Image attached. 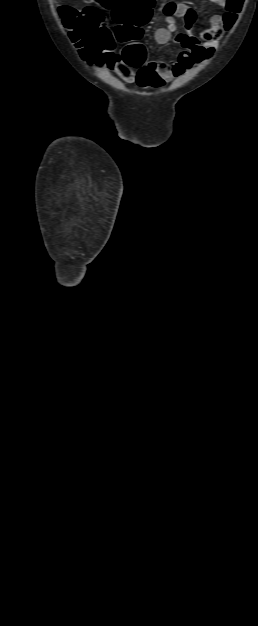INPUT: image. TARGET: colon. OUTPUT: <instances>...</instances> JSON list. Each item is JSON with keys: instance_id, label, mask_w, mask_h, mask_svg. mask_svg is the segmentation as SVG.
<instances>
[{"instance_id": "1", "label": "colon", "mask_w": 258, "mask_h": 626, "mask_svg": "<svg viewBox=\"0 0 258 626\" xmlns=\"http://www.w3.org/2000/svg\"><path fill=\"white\" fill-rule=\"evenodd\" d=\"M94 2L83 9L62 5L59 13L82 58L92 64L108 62L115 53V38L119 42H132L142 35V26L149 20L155 0H87ZM243 0H226L224 26L229 28L241 10ZM102 9L113 10L117 28L115 37L104 22ZM132 66L144 64L146 51L143 45H128L122 54Z\"/></svg>"}]
</instances>
